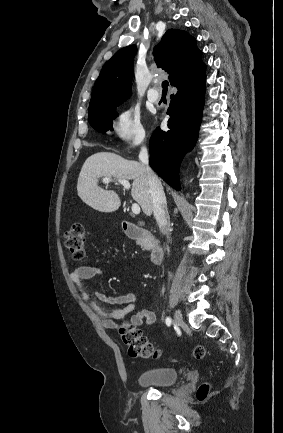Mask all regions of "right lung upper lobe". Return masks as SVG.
Returning <instances> with one entry per match:
<instances>
[{"instance_id":"obj_1","label":"right lung upper lobe","mask_w":283,"mask_h":433,"mask_svg":"<svg viewBox=\"0 0 283 433\" xmlns=\"http://www.w3.org/2000/svg\"><path fill=\"white\" fill-rule=\"evenodd\" d=\"M136 51L135 45L124 47L105 63L95 82L88 113L120 105L131 96ZM153 55L157 66L170 74L169 80L177 88L188 86L205 76L202 52L197 48L196 40L185 31L167 30L161 42L154 47Z\"/></svg>"}]
</instances>
